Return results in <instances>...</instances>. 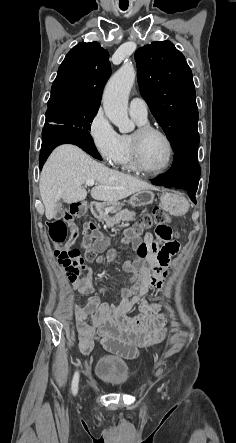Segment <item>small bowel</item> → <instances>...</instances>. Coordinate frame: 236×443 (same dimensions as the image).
Instances as JSON below:
<instances>
[{
  "instance_id": "c3829d8e",
  "label": "small bowel",
  "mask_w": 236,
  "mask_h": 443,
  "mask_svg": "<svg viewBox=\"0 0 236 443\" xmlns=\"http://www.w3.org/2000/svg\"><path fill=\"white\" fill-rule=\"evenodd\" d=\"M88 237L91 239L92 234ZM133 241L137 253L141 246H146L149 253L146 258L125 265V270L131 274L128 280L130 287L121 290V300L116 305L99 306V299L93 294L98 290L106 293L107 290L97 287L84 265L77 269L59 261L71 289L90 295L86 307L73 305L78 348L83 354L90 353L96 341L100 340L112 352L130 358L137 354L139 348L156 344L166 336V321L161 304L157 299L147 297V294L150 287H164L165 277L171 266V255L177 250L169 252L165 248L168 242L157 234L155 238L146 234L142 240L134 237ZM161 243L163 244L160 246ZM105 244L104 240H100L92 248L101 251ZM134 266L137 268L133 269ZM134 306L139 307L142 315L130 318L127 313ZM93 311L91 320L86 321L85 318Z\"/></svg>"
}]
</instances>
